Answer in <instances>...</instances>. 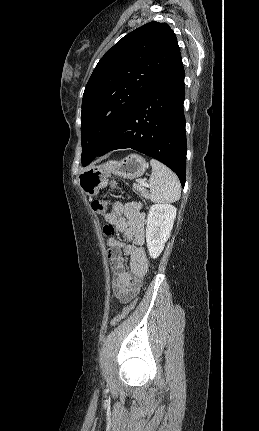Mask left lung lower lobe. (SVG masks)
Returning a JSON list of instances; mask_svg holds the SVG:
<instances>
[{"mask_svg": "<svg viewBox=\"0 0 259 431\" xmlns=\"http://www.w3.org/2000/svg\"><path fill=\"white\" fill-rule=\"evenodd\" d=\"M184 77L179 53L158 82L102 144L96 157L112 150L132 148L167 165L184 186L187 152Z\"/></svg>", "mask_w": 259, "mask_h": 431, "instance_id": "1", "label": "left lung lower lobe"}]
</instances>
